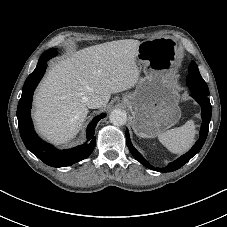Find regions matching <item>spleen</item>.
Listing matches in <instances>:
<instances>
[{
	"mask_svg": "<svg viewBox=\"0 0 227 227\" xmlns=\"http://www.w3.org/2000/svg\"><path fill=\"white\" fill-rule=\"evenodd\" d=\"M195 134L194 121L189 120L181 127L160 133L158 139L170 152L183 154L193 145Z\"/></svg>",
	"mask_w": 227,
	"mask_h": 227,
	"instance_id": "3e777b00",
	"label": "spleen"
}]
</instances>
